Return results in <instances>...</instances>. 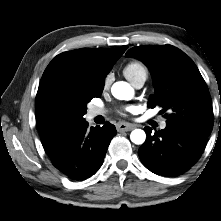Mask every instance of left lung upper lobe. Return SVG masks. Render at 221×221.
I'll use <instances>...</instances> for the list:
<instances>
[{"label":"left lung upper lobe","mask_w":221,"mask_h":221,"mask_svg":"<svg viewBox=\"0 0 221 221\" xmlns=\"http://www.w3.org/2000/svg\"><path fill=\"white\" fill-rule=\"evenodd\" d=\"M126 57L142 61L150 70L155 94L148 106L162 107L167 124L189 128L208 137L213 128L212 101L194 62L171 45L138 46L129 49Z\"/></svg>","instance_id":"obj_1"}]
</instances>
